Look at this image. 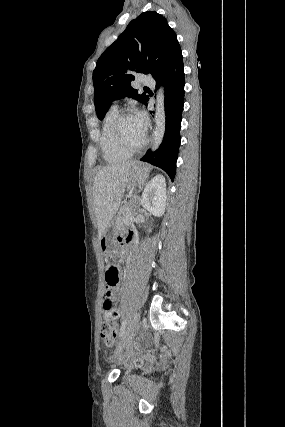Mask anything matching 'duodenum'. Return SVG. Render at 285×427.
Wrapping results in <instances>:
<instances>
[{
    "instance_id": "obj_1",
    "label": "duodenum",
    "mask_w": 285,
    "mask_h": 427,
    "mask_svg": "<svg viewBox=\"0 0 285 427\" xmlns=\"http://www.w3.org/2000/svg\"><path fill=\"white\" fill-rule=\"evenodd\" d=\"M124 252L128 251V248L123 249Z\"/></svg>"
}]
</instances>
